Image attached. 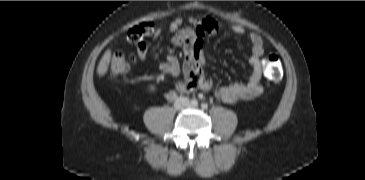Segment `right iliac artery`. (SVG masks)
<instances>
[{"label":"right iliac artery","mask_w":365,"mask_h":180,"mask_svg":"<svg viewBox=\"0 0 365 180\" xmlns=\"http://www.w3.org/2000/svg\"><path fill=\"white\" fill-rule=\"evenodd\" d=\"M190 103H191L192 106H197L198 105V101L196 99H192Z\"/></svg>","instance_id":"right-iliac-artery-1"}]
</instances>
